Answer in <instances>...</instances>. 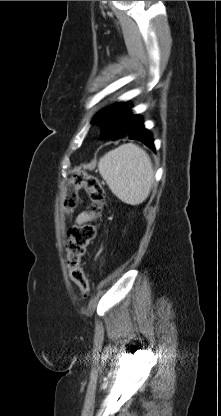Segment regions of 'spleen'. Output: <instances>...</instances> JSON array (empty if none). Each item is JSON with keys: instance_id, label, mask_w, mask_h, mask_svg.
Wrapping results in <instances>:
<instances>
[{"instance_id": "obj_1", "label": "spleen", "mask_w": 221, "mask_h": 416, "mask_svg": "<svg viewBox=\"0 0 221 416\" xmlns=\"http://www.w3.org/2000/svg\"><path fill=\"white\" fill-rule=\"evenodd\" d=\"M98 169L121 201L138 205L149 196L154 182L153 165L138 145L127 143L109 151L100 158Z\"/></svg>"}]
</instances>
